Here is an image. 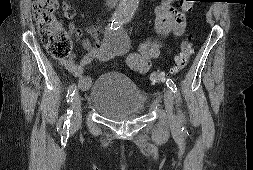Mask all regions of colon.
<instances>
[{
    "instance_id": "5ec220e1",
    "label": "colon",
    "mask_w": 253,
    "mask_h": 170,
    "mask_svg": "<svg viewBox=\"0 0 253 170\" xmlns=\"http://www.w3.org/2000/svg\"><path fill=\"white\" fill-rule=\"evenodd\" d=\"M192 1L184 0L182 10L190 11ZM58 9V0H35L33 3V17L37 24L39 36L45 45L49 55L55 59L67 58L72 50V40L69 35L60 27L55 12ZM193 53L189 36L186 37L182 44L179 54L175 58L174 66L169 73L174 75L180 72L188 64ZM167 79V73L154 71L150 74V80L153 83L162 84Z\"/></svg>"
}]
</instances>
